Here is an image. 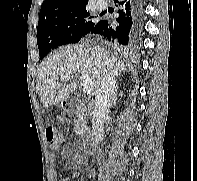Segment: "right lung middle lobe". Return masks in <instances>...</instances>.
Here are the masks:
<instances>
[{
	"instance_id": "dd1d6c3e",
	"label": "right lung middle lobe",
	"mask_w": 197,
	"mask_h": 181,
	"mask_svg": "<svg viewBox=\"0 0 197 181\" xmlns=\"http://www.w3.org/2000/svg\"><path fill=\"white\" fill-rule=\"evenodd\" d=\"M97 20L84 8L39 20L37 44L40 59L58 46L77 43L90 33Z\"/></svg>"
}]
</instances>
